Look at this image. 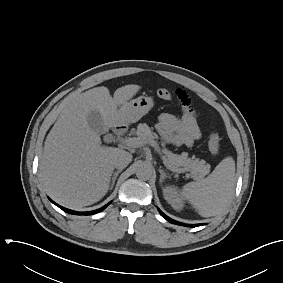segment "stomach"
I'll list each match as a JSON object with an SVG mask.
<instances>
[{
  "label": "stomach",
  "instance_id": "stomach-1",
  "mask_svg": "<svg viewBox=\"0 0 283 283\" xmlns=\"http://www.w3.org/2000/svg\"><path fill=\"white\" fill-rule=\"evenodd\" d=\"M154 106V100L150 96H139L120 107L122 123H134L146 115Z\"/></svg>",
  "mask_w": 283,
  "mask_h": 283
}]
</instances>
